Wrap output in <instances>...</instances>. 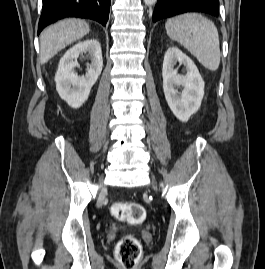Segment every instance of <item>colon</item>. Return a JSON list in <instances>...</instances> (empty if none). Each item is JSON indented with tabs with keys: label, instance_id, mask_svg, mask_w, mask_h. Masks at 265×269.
<instances>
[{
	"label": "colon",
	"instance_id": "obj_1",
	"mask_svg": "<svg viewBox=\"0 0 265 269\" xmlns=\"http://www.w3.org/2000/svg\"><path fill=\"white\" fill-rule=\"evenodd\" d=\"M114 217L130 224H138L144 220L145 209L137 202H114L111 206ZM116 257L124 269H135L141 257V245L131 236L122 237L116 245Z\"/></svg>",
	"mask_w": 265,
	"mask_h": 269
}]
</instances>
